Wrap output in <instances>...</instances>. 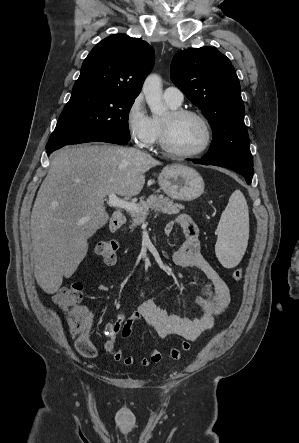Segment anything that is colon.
<instances>
[{
  "instance_id": "5ec220e1",
  "label": "colon",
  "mask_w": 299,
  "mask_h": 443,
  "mask_svg": "<svg viewBox=\"0 0 299 443\" xmlns=\"http://www.w3.org/2000/svg\"><path fill=\"white\" fill-rule=\"evenodd\" d=\"M118 244L113 239L99 241L94 248V253L107 265H112L116 261ZM243 271L236 268L232 272L235 281L241 280ZM83 297V286L79 282H74L61 287L54 295L53 300L59 310L65 315L69 330L75 336L83 335L90 328L87 317L80 310V303Z\"/></svg>"
}]
</instances>
